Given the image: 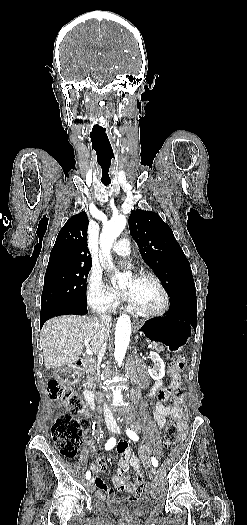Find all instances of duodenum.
Listing matches in <instances>:
<instances>
[{
	"instance_id": "410a0bca",
	"label": "duodenum",
	"mask_w": 247,
	"mask_h": 525,
	"mask_svg": "<svg viewBox=\"0 0 247 525\" xmlns=\"http://www.w3.org/2000/svg\"><path fill=\"white\" fill-rule=\"evenodd\" d=\"M84 368H85L84 360L82 358H78L71 363L70 369L64 372V376L67 379H70L73 381L75 380L77 374L83 371ZM84 396H85V400L89 408L92 410H95L96 409V399H95L94 394L88 388H85Z\"/></svg>"
}]
</instances>
